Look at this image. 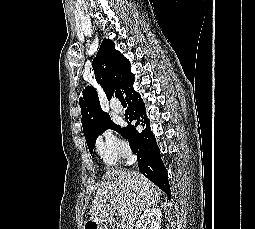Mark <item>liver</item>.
I'll list each match as a JSON object with an SVG mask.
<instances>
[{
  "label": "liver",
  "instance_id": "obj_1",
  "mask_svg": "<svg viewBox=\"0 0 255 229\" xmlns=\"http://www.w3.org/2000/svg\"><path fill=\"white\" fill-rule=\"evenodd\" d=\"M160 190L139 172L113 169L102 177L92 202L90 220L111 222L116 210H123L119 229H133L138 215L160 202Z\"/></svg>",
  "mask_w": 255,
  "mask_h": 229
}]
</instances>
